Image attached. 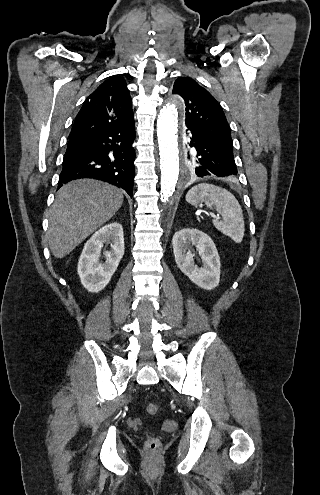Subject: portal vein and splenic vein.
<instances>
[{"instance_id":"portal-vein-and-splenic-vein-1","label":"portal vein and splenic vein","mask_w":320,"mask_h":495,"mask_svg":"<svg viewBox=\"0 0 320 495\" xmlns=\"http://www.w3.org/2000/svg\"><path fill=\"white\" fill-rule=\"evenodd\" d=\"M210 216H211L212 218H214V219H219V216H216V215H214V214H210Z\"/></svg>"}]
</instances>
